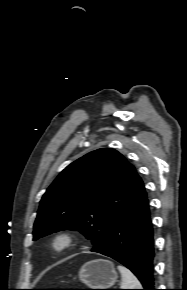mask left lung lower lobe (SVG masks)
I'll list each match as a JSON object with an SVG mask.
<instances>
[{
	"label": "left lung lower lobe",
	"instance_id": "0a47b994",
	"mask_svg": "<svg viewBox=\"0 0 187 290\" xmlns=\"http://www.w3.org/2000/svg\"><path fill=\"white\" fill-rule=\"evenodd\" d=\"M91 251L126 266L137 276L144 290H156L153 226L144 184L128 200L106 239Z\"/></svg>",
	"mask_w": 187,
	"mask_h": 290
}]
</instances>
